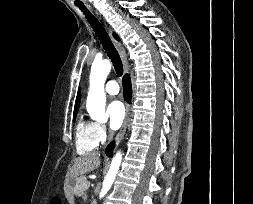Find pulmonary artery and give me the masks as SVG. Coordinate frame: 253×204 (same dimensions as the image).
<instances>
[{
    "label": "pulmonary artery",
    "instance_id": "1",
    "mask_svg": "<svg viewBox=\"0 0 253 204\" xmlns=\"http://www.w3.org/2000/svg\"><path fill=\"white\" fill-rule=\"evenodd\" d=\"M105 92L109 95H117L119 93V85L115 80H110L105 86Z\"/></svg>",
    "mask_w": 253,
    "mask_h": 204
}]
</instances>
